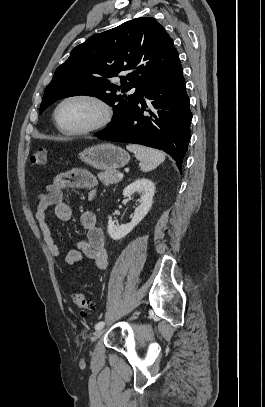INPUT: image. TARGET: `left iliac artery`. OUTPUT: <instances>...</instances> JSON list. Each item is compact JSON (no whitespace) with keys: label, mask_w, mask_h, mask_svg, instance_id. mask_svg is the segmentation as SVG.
Here are the masks:
<instances>
[{"label":"left iliac artery","mask_w":265,"mask_h":407,"mask_svg":"<svg viewBox=\"0 0 265 407\" xmlns=\"http://www.w3.org/2000/svg\"><path fill=\"white\" fill-rule=\"evenodd\" d=\"M104 322L103 321H100V322H98L96 325H95V329L96 330H98V329H101L103 326H104Z\"/></svg>","instance_id":"left-iliac-artery-1"}]
</instances>
